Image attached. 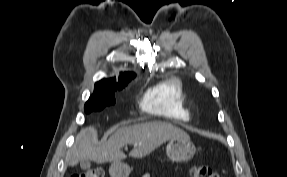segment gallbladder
Masks as SVG:
<instances>
[{
    "instance_id": "1",
    "label": "gallbladder",
    "mask_w": 287,
    "mask_h": 177,
    "mask_svg": "<svg viewBox=\"0 0 287 177\" xmlns=\"http://www.w3.org/2000/svg\"><path fill=\"white\" fill-rule=\"evenodd\" d=\"M90 166H91L90 160L84 159V160H81V161H80V167H81V169L87 170V169L90 168Z\"/></svg>"
}]
</instances>
